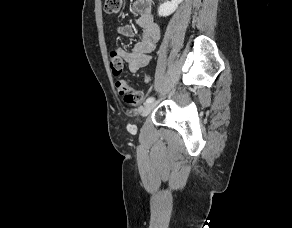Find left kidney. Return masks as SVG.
<instances>
[{
  "label": "left kidney",
  "mask_w": 292,
  "mask_h": 228,
  "mask_svg": "<svg viewBox=\"0 0 292 228\" xmlns=\"http://www.w3.org/2000/svg\"><path fill=\"white\" fill-rule=\"evenodd\" d=\"M182 1L183 0H171L164 2L158 8V15L163 17L171 15Z\"/></svg>",
  "instance_id": "5707ae66"
}]
</instances>
